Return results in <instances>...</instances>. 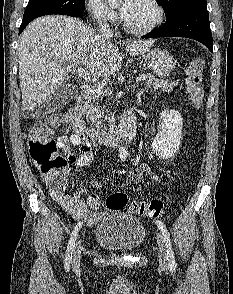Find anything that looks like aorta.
Listing matches in <instances>:
<instances>
[{
	"label": "aorta",
	"mask_w": 233,
	"mask_h": 294,
	"mask_svg": "<svg viewBox=\"0 0 233 294\" xmlns=\"http://www.w3.org/2000/svg\"><path fill=\"white\" fill-rule=\"evenodd\" d=\"M108 1L112 3V2H115L116 0H108Z\"/></svg>",
	"instance_id": "obj_1"
}]
</instances>
